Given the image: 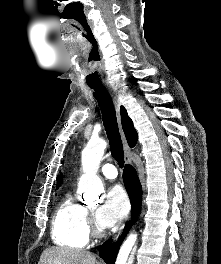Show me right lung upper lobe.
<instances>
[{"label": "right lung upper lobe", "mask_w": 221, "mask_h": 264, "mask_svg": "<svg viewBox=\"0 0 221 264\" xmlns=\"http://www.w3.org/2000/svg\"><path fill=\"white\" fill-rule=\"evenodd\" d=\"M121 120H122V127L127 138L128 144L130 147H134L137 142V132L133 126L132 120L128 117L127 111L123 106H121ZM62 181V176L59 178L58 186Z\"/></svg>", "instance_id": "obj_1"}]
</instances>
